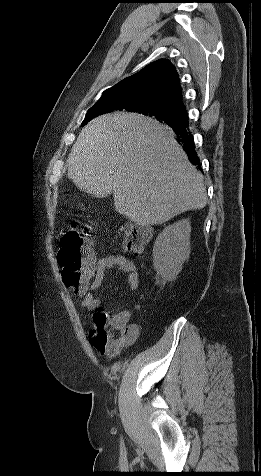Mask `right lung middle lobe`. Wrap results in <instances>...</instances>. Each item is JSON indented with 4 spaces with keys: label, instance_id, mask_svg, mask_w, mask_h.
<instances>
[{
    "label": "right lung middle lobe",
    "instance_id": "right-lung-middle-lobe-1",
    "mask_svg": "<svg viewBox=\"0 0 261 476\" xmlns=\"http://www.w3.org/2000/svg\"><path fill=\"white\" fill-rule=\"evenodd\" d=\"M120 99L121 96L119 94H113L99 99L97 103L87 111L82 126L98 115L117 110H126L129 112L148 115L160 120L161 122H165L166 124L179 122L185 116L184 111L160 102L152 101L122 106V104H120Z\"/></svg>",
    "mask_w": 261,
    "mask_h": 476
}]
</instances>
